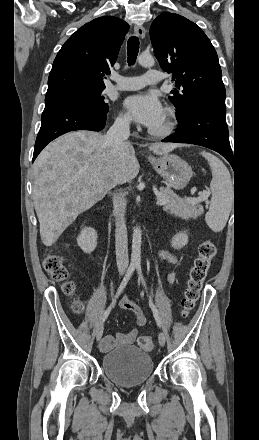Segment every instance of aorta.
Masks as SVG:
<instances>
[{
  "mask_svg": "<svg viewBox=\"0 0 259 440\" xmlns=\"http://www.w3.org/2000/svg\"><path fill=\"white\" fill-rule=\"evenodd\" d=\"M138 63L143 67L154 66V58L150 54L142 53L137 57ZM141 242H142V232L139 226H136L133 231L132 237V262H139L141 259Z\"/></svg>",
  "mask_w": 259,
  "mask_h": 440,
  "instance_id": "aorta-1",
  "label": "aorta"
}]
</instances>
